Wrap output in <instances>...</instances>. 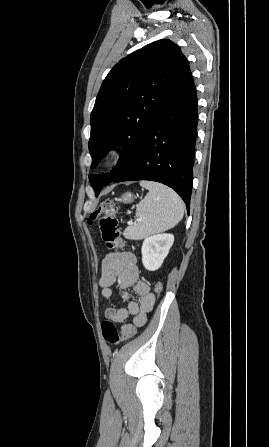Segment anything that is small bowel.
<instances>
[{"instance_id": "obj_1", "label": "small bowel", "mask_w": 269, "mask_h": 447, "mask_svg": "<svg viewBox=\"0 0 269 447\" xmlns=\"http://www.w3.org/2000/svg\"><path fill=\"white\" fill-rule=\"evenodd\" d=\"M113 284H117L118 288L123 290L122 297L127 302V307L108 308L105 311V317L122 325L123 329L130 325L125 323L129 316L134 317V324L143 325L147 320L146 314L155 303V297L151 292L150 285L140 279V271L133 253L110 252L104 257L99 279L103 298L111 299L113 297L111 288ZM131 286H133L134 292L140 297L139 303L132 300L127 292V289Z\"/></svg>"}]
</instances>
